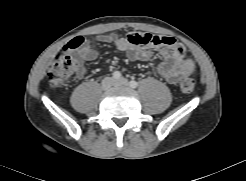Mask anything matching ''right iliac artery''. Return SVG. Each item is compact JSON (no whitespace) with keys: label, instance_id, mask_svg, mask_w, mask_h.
<instances>
[{"label":"right iliac artery","instance_id":"obj_1","mask_svg":"<svg viewBox=\"0 0 246 181\" xmlns=\"http://www.w3.org/2000/svg\"><path fill=\"white\" fill-rule=\"evenodd\" d=\"M112 75L114 79L118 80L121 78V73L119 71H115Z\"/></svg>","mask_w":246,"mask_h":181}]
</instances>
